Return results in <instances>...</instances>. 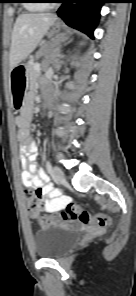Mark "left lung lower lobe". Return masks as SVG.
<instances>
[{"label":"left lung lower lobe","instance_id":"0a47b994","mask_svg":"<svg viewBox=\"0 0 136 296\" xmlns=\"http://www.w3.org/2000/svg\"><path fill=\"white\" fill-rule=\"evenodd\" d=\"M62 3L57 15L69 26L93 38V30L99 20L101 6L106 3V0H64ZM72 3L77 5L72 7Z\"/></svg>","mask_w":136,"mask_h":296}]
</instances>
